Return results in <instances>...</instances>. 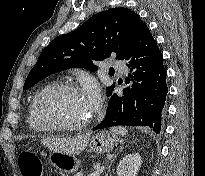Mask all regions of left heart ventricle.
<instances>
[{
    "label": "left heart ventricle",
    "instance_id": "obj_1",
    "mask_svg": "<svg viewBox=\"0 0 205 176\" xmlns=\"http://www.w3.org/2000/svg\"><path fill=\"white\" fill-rule=\"evenodd\" d=\"M91 113L79 92L59 91L47 96L40 106V117L47 122L76 125Z\"/></svg>",
    "mask_w": 205,
    "mask_h": 176
}]
</instances>
